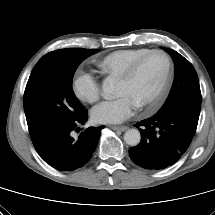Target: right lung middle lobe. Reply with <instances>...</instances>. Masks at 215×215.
<instances>
[{
  "instance_id": "obj_1",
  "label": "right lung middle lobe",
  "mask_w": 215,
  "mask_h": 215,
  "mask_svg": "<svg viewBox=\"0 0 215 215\" xmlns=\"http://www.w3.org/2000/svg\"><path fill=\"white\" fill-rule=\"evenodd\" d=\"M99 50L67 48L44 55L33 68L24 92L32 141L85 111L72 90L78 65Z\"/></svg>"
}]
</instances>
